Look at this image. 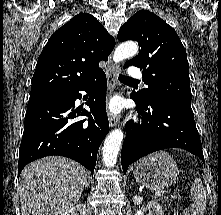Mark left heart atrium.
I'll return each mask as SVG.
<instances>
[{
  "instance_id": "1",
  "label": "left heart atrium",
  "mask_w": 221,
  "mask_h": 215,
  "mask_svg": "<svg viewBox=\"0 0 221 215\" xmlns=\"http://www.w3.org/2000/svg\"><path fill=\"white\" fill-rule=\"evenodd\" d=\"M107 109L109 112L117 114L121 110V103L120 100L117 98L111 99L107 104Z\"/></svg>"
}]
</instances>
